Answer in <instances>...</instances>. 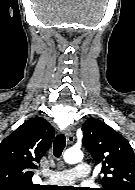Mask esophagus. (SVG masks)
<instances>
[{
    "mask_svg": "<svg viewBox=\"0 0 135 190\" xmlns=\"http://www.w3.org/2000/svg\"><path fill=\"white\" fill-rule=\"evenodd\" d=\"M65 135H66L67 142L69 144L74 142L75 136H74L73 130L70 127L65 130Z\"/></svg>",
    "mask_w": 135,
    "mask_h": 190,
    "instance_id": "34e87169",
    "label": "esophagus"
}]
</instances>
